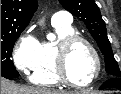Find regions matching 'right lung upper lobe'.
<instances>
[{
	"label": "right lung upper lobe",
	"instance_id": "right-lung-upper-lobe-1",
	"mask_svg": "<svg viewBox=\"0 0 121 94\" xmlns=\"http://www.w3.org/2000/svg\"><path fill=\"white\" fill-rule=\"evenodd\" d=\"M37 6V0H1V33L24 30Z\"/></svg>",
	"mask_w": 121,
	"mask_h": 94
}]
</instances>
